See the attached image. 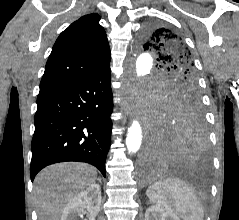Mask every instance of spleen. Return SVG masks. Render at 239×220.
I'll return each mask as SVG.
<instances>
[{
	"label": "spleen",
	"instance_id": "3e777b00",
	"mask_svg": "<svg viewBox=\"0 0 239 220\" xmlns=\"http://www.w3.org/2000/svg\"><path fill=\"white\" fill-rule=\"evenodd\" d=\"M156 206L177 214L183 220H204V208L194 191L179 179H161L146 191Z\"/></svg>",
	"mask_w": 239,
	"mask_h": 220
}]
</instances>
